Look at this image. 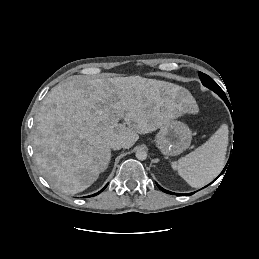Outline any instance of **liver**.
<instances>
[{
	"label": "liver",
	"mask_w": 259,
	"mask_h": 259,
	"mask_svg": "<svg viewBox=\"0 0 259 259\" xmlns=\"http://www.w3.org/2000/svg\"><path fill=\"white\" fill-rule=\"evenodd\" d=\"M197 108L194 98L173 83L140 76H75L43 100L35 117V159L54 188L76 194L107 169L112 140L120 139L129 149L139 134Z\"/></svg>",
	"instance_id": "6515ba94"
}]
</instances>
